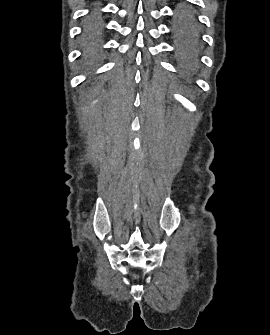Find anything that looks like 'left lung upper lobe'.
<instances>
[{"label":"left lung upper lobe","mask_w":270,"mask_h":335,"mask_svg":"<svg viewBox=\"0 0 270 335\" xmlns=\"http://www.w3.org/2000/svg\"><path fill=\"white\" fill-rule=\"evenodd\" d=\"M186 3L179 10V20H180V29L182 31H188L192 25L195 23V12L194 10Z\"/></svg>","instance_id":"5c2ea615"}]
</instances>
